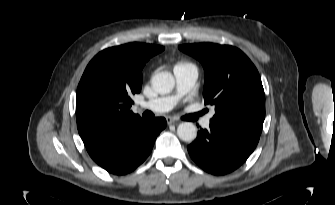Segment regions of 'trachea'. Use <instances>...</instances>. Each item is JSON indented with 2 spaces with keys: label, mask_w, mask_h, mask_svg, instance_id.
Wrapping results in <instances>:
<instances>
[{
  "label": "trachea",
  "mask_w": 335,
  "mask_h": 205,
  "mask_svg": "<svg viewBox=\"0 0 335 205\" xmlns=\"http://www.w3.org/2000/svg\"><path fill=\"white\" fill-rule=\"evenodd\" d=\"M145 117H149L150 116V113L148 111H146L144 114H143Z\"/></svg>",
  "instance_id": "obj_1"
}]
</instances>
